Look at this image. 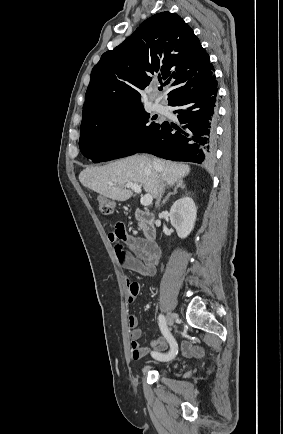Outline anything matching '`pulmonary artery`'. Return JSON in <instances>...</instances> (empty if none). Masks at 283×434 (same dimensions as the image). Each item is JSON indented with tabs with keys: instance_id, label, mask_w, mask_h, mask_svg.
<instances>
[{
	"instance_id": "pulmonary-artery-1",
	"label": "pulmonary artery",
	"mask_w": 283,
	"mask_h": 434,
	"mask_svg": "<svg viewBox=\"0 0 283 434\" xmlns=\"http://www.w3.org/2000/svg\"><path fill=\"white\" fill-rule=\"evenodd\" d=\"M153 108L155 111L157 112H165V106L159 101V100H155L154 104H153Z\"/></svg>"
}]
</instances>
